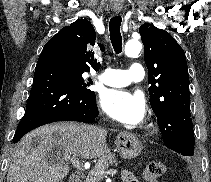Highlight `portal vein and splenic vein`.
<instances>
[{"instance_id": "obj_1", "label": "portal vein and splenic vein", "mask_w": 211, "mask_h": 182, "mask_svg": "<svg viewBox=\"0 0 211 182\" xmlns=\"http://www.w3.org/2000/svg\"><path fill=\"white\" fill-rule=\"evenodd\" d=\"M67 159L71 161V163L79 170H83V163L77 159L76 157H73L71 155L66 156ZM117 171L115 169H110L109 171L105 172V174H115Z\"/></svg>"}]
</instances>
